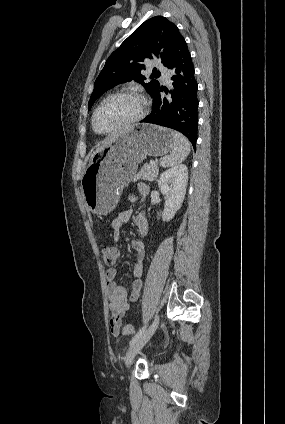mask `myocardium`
Returning a JSON list of instances; mask_svg holds the SVG:
<instances>
[{"label": "myocardium", "mask_w": 285, "mask_h": 424, "mask_svg": "<svg viewBox=\"0 0 285 424\" xmlns=\"http://www.w3.org/2000/svg\"><path fill=\"white\" fill-rule=\"evenodd\" d=\"M118 96H134V97L138 98L139 101L141 102L140 111L132 119L128 120L127 122L121 124L118 127H115V128H112V129H109V130H106V131L97 130L96 127H95V117L97 115V112L108 100H110L114 97H118ZM148 106H149V103H148L147 98L141 92H139L137 90L126 89V90H121V91L112 93V94L108 95L107 97H105L94 109V111L92 113V117H91L92 128H93L95 133L100 134V135H106V134L121 132V131L133 126L134 124L138 123L139 121H141L145 117V115L147 114Z\"/></svg>", "instance_id": "myocardium-1"}]
</instances>
